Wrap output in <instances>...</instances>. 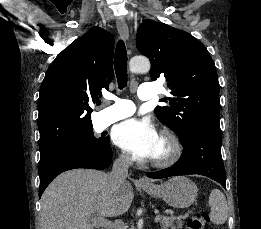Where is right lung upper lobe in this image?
<instances>
[{
  "label": "right lung upper lobe",
  "mask_w": 261,
  "mask_h": 229,
  "mask_svg": "<svg viewBox=\"0 0 261 229\" xmlns=\"http://www.w3.org/2000/svg\"><path fill=\"white\" fill-rule=\"evenodd\" d=\"M113 50L110 33L92 27L58 54L40 87V150L65 144L93 130L89 104L101 97V90L109 89Z\"/></svg>",
  "instance_id": "right-lung-upper-lobe-1"
}]
</instances>
